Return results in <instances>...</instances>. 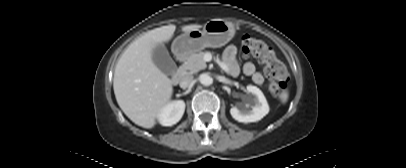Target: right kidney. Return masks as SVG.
I'll return each instance as SVG.
<instances>
[{"label": "right kidney", "instance_id": "right-kidney-1", "mask_svg": "<svg viewBox=\"0 0 406 168\" xmlns=\"http://www.w3.org/2000/svg\"><path fill=\"white\" fill-rule=\"evenodd\" d=\"M185 111V103L182 100L168 103L158 115V120L163 126H172L180 121Z\"/></svg>", "mask_w": 406, "mask_h": 168}]
</instances>
